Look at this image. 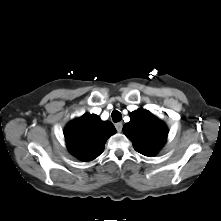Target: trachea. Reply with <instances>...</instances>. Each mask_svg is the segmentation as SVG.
<instances>
[{"mask_svg": "<svg viewBox=\"0 0 221 221\" xmlns=\"http://www.w3.org/2000/svg\"><path fill=\"white\" fill-rule=\"evenodd\" d=\"M111 116L114 122H119L122 119V114L117 110H113Z\"/></svg>", "mask_w": 221, "mask_h": 221, "instance_id": "1", "label": "trachea"}]
</instances>
